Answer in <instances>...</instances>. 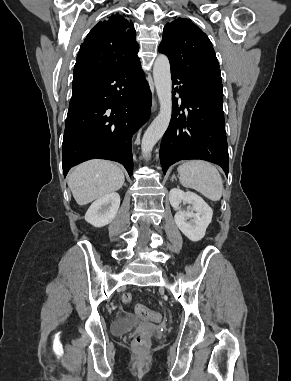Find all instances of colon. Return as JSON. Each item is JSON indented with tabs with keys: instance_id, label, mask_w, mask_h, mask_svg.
<instances>
[{
	"instance_id": "colon-1",
	"label": "colon",
	"mask_w": 291,
	"mask_h": 381,
	"mask_svg": "<svg viewBox=\"0 0 291 381\" xmlns=\"http://www.w3.org/2000/svg\"><path fill=\"white\" fill-rule=\"evenodd\" d=\"M122 301L125 304H129L132 301V295L129 293L124 294L122 296ZM134 308L138 316L143 319H148L155 322H160L162 319L161 313L152 311L143 304L137 303L135 304ZM148 345H149V340L144 335L139 334L134 338V346L137 349H145Z\"/></svg>"
}]
</instances>
